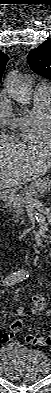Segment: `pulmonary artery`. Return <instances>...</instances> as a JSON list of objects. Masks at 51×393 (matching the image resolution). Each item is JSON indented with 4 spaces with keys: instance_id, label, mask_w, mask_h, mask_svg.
<instances>
[{
    "instance_id": "pulmonary-artery-1",
    "label": "pulmonary artery",
    "mask_w": 51,
    "mask_h": 393,
    "mask_svg": "<svg viewBox=\"0 0 51 393\" xmlns=\"http://www.w3.org/2000/svg\"><path fill=\"white\" fill-rule=\"evenodd\" d=\"M39 86H43V87L47 88V87H49V84L43 82V83H40Z\"/></svg>"
}]
</instances>
